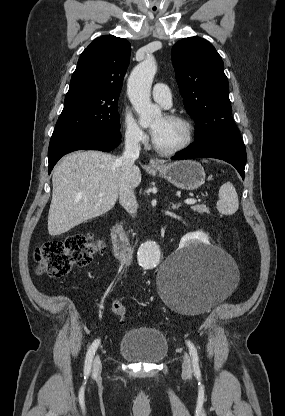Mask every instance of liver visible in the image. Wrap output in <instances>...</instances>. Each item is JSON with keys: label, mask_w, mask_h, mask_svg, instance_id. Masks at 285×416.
Wrapping results in <instances>:
<instances>
[{"label": "liver", "mask_w": 285, "mask_h": 416, "mask_svg": "<svg viewBox=\"0 0 285 416\" xmlns=\"http://www.w3.org/2000/svg\"><path fill=\"white\" fill-rule=\"evenodd\" d=\"M116 156L103 152H73L55 168L48 214L50 236H60L86 220L103 216L119 198L120 166ZM138 166L129 174V186L141 182ZM104 194V196H99Z\"/></svg>", "instance_id": "1"}]
</instances>
